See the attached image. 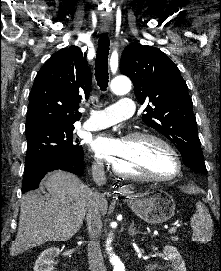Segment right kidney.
Listing matches in <instances>:
<instances>
[{
  "instance_id": "obj_1",
  "label": "right kidney",
  "mask_w": 221,
  "mask_h": 271,
  "mask_svg": "<svg viewBox=\"0 0 221 271\" xmlns=\"http://www.w3.org/2000/svg\"><path fill=\"white\" fill-rule=\"evenodd\" d=\"M59 253V247H47L41 251L34 263V271H54V257H58Z\"/></svg>"
}]
</instances>
